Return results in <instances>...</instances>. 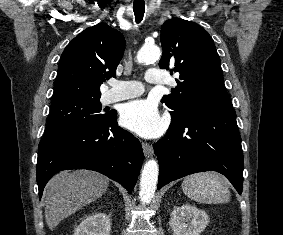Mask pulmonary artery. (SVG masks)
I'll list each match as a JSON object with an SVG mask.
<instances>
[{
  "mask_svg": "<svg viewBox=\"0 0 283 235\" xmlns=\"http://www.w3.org/2000/svg\"><path fill=\"white\" fill-rule=\"evenodd\" d=\"M145 79L150 84H162L163 78L158 69L147 70ZM111 89L103 95L104 103L117 102L140 96L144 92V85L134 80H112Z\"/></svg>",
  "mask_w": 283,
  "mask_h": 235,
  "instance_id": "obj_1",
  "label": "pulmonary artery"
}]
</instances>
